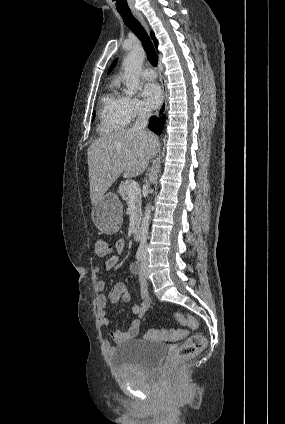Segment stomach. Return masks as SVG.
Masks as SVG:
<instances>
[{"label":"stomach","instance_id":"1","mask_svg":"<svg viewBox=\"0 0 285 424\" xmlns=\"http://www.w3.org/2000/svg\"><path fill=\"white\" fill-rule=\"evenodd\" d=\"M91 217L95 226L103 233L117 232L123 221V205L114 193H106L93 206Z\"/></svg>","mask_w":285,"mask_h":424}]
</instances>
